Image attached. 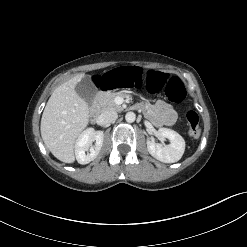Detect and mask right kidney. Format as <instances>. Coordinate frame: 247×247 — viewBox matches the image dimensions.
Here are the masks:
<instances>
[{
  "label": "right kidney",
  "mask_w": 247,
  "mask_h": 247,
  "mask_svg": "<svg viewBox=\"0 0 247 247\" xmlns=\"http://www.w3.org/2000/svg\"><path fill=\"white\" fill-rule=\"evenodd\" d=\"M104 140L102 131L93 128L86 129L77 139L75 144V156L80 164H88L99 154ZM95 141V145L92 143Z\"/></svg>",
  "instance_id": "ca27d5eb"
}]
</instances>
